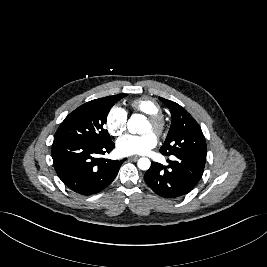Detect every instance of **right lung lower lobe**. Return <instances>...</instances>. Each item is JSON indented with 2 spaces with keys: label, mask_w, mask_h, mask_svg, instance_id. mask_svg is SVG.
I'll return each instance as SVG.
<instances>
[{
  "label": "right lung lower lobe",
  "mask_w": 267,
  "mask_h": 267,
  "mask_svg": "<svg viewBox=\"0 0 267 267\" xmlns=\"http://www.w3.org/2000/svg\"><path fill=\"white\" fill-rule=\"evenodd\" d=\"M114 146L112 141L105 144L54 141L52 158L55 171L70 190L81 195L96 194L114 180L126 160L99 157L110 153Z\"/></svg>",
  "instance_id": "98d812e1"
}]
</instances>
